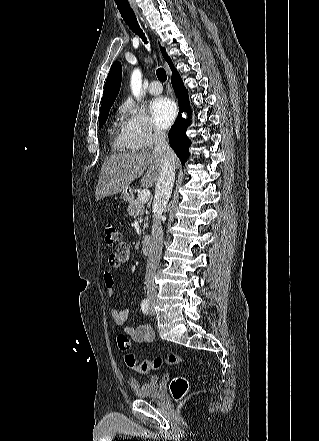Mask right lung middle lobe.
<instances>
[{
	"instance_id": "1",
	"label": "right lung middle lobe",
	"mask_w": 319,
	"mask_h": 441,
	"mask_svg": "<svg viewBox=\"0 0 319 441\" xmlns=\"http://www.w3.org/2000/svg\"><path fill=\"white\" fill-rule=\"evenodd\" d=\"M111 107H106L100 110V115H99V126L100 128L105 124L107 118H108V114H109V110Z\"/></svg>"
}]
</instances>
